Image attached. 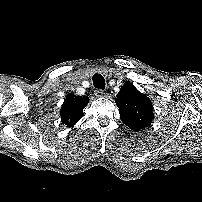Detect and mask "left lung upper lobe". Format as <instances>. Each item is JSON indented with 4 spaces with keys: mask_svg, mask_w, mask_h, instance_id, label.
Masks as SVG:
<instances>
[{
    "mask_svg": "<svg viewBox=\"0 0 202 202\" xmlns=\"http://www.w3.org/2000/svg\"><path fill=\"white\" fill-rule=\"evenodd\" d=\"M116 97L120 119L125 125L133 130H141L151 125L154 117L152 102L132 83L125 84Z\"/></svg>",
    "mask_w": 202,
    "mask_h": 202,
    "instance_id": "obj_1",
    "label": "left lung upper lobe"
}]
</instances>
